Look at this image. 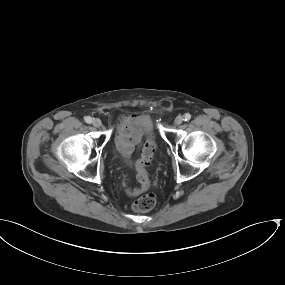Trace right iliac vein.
I'll return each mask as SVG.
<instances>
[{
    "label": "right iliac vein",
    "instance_id": "1",
    "mask_svg": "<svg viewBox=\"0 0 285 285\" xmlns=\"http://www.w3.org/2000/svg\"><path fill=\"white\" fill-rule=\"evenodd\" d=\"M92 124H93V126H94V127H96V128H100V127H101V125H102V122H101V120H100V119L95 118V119H93Z\"/></svg>",
    "mask_w": 285,
    "mask_h": 285
}]
</instances>
